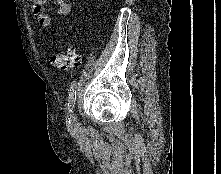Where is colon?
Here are the masks:
<instances>
[{"mask_svg": "<svg viewBox=\"0 0 221 174\" xmlns=\"http://www.w3.org/2000/svg\"><path fill=\"white\" fill-rule=\"evenodd\" d=\"M49 62L57 69L68 71L78 66L81 59L79 55L76 54L75 49L70 47L66 52H57L53 54Z\"/></svg>", "mask_w": 221, "mask_h": 174, "instance_id": "5ec220e1", "label": "colon"}]
</instances>
